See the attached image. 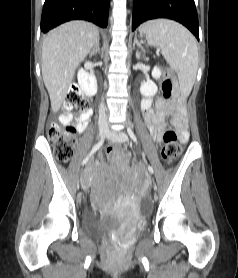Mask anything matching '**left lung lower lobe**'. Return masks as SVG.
I'll return each instance as SVG.
<instances>
[{
  "label": "left lung lower lobe",
  "instance_id": "obj_1",
  "mask_svg": "<svg viewBox=\"0 0 238 278\" xmlns=\"http://www.w3.org/2000/svg\"><path fill=\"white\" fill-rule=\"evenodd\" d=\"M155 18H168L180 22L199 40L194 0H133L132 31L142 22Z\"/></svg>",
  "mask_w": 238,
  "mask_h": 278
}]
</instances>
